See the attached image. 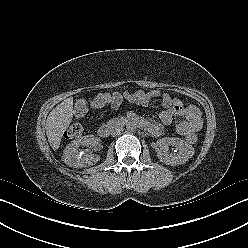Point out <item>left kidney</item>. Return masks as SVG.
Masks as SVG:
<instances>
[{
	"mask_svg": "<svg viewBox=\"0 0 248 248\" xmlns=\"http://www.w3.org/2000/svg\"><path fill=\"white\" fill-rule=\"evenodd\" d=\"M169 146L175 147L178 152L170 153ZM156 151L158 159L164 164L171 166L184 164L195 153L194 148L190 144L176 137L159 139Z\"/></svg>",
	"mask_w": 248,
	"mask_h": 248,
	"instance_id": "left-kidney-1",
	"label": "left kidney"
}]
</instances>
